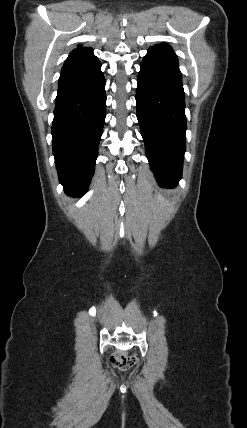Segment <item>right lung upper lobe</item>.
<instances>
[{"instance_id":"obj_1","label":"right lung upper lobe","mask_w":247,"mask_h":428,"mask_svg":"<svg viewBox=\"0 0 247 428\" xmlns=\"http://www.w3.org/2000/svg\"><path fill=\"white\" fill-rule=\"evenodd\" d=\"M92 56H94L92 48H83L81 45H79L77 49L70 53L69 57L65 61L64 66L85 61Z\"/></svg>"}]
</instances>
